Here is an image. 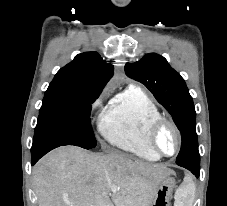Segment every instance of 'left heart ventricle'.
<instances>
[{
    "label": "left heart ventricle",
    "instance_id": "obj_1",
    "mask_svg": "<svg viewBox=\"0 0 227 206\" xmlns=\"http://www.w3.org/2000/svg\"><path fill=\"white\" fill-rule=\"evenodd\" d=\"M157 146L164 154H172L177 146L175 133L169 126H164L157 134Z\"/></svg>",
    "mask_w": 227,
    "mask_h": 206
}]
</instances>
